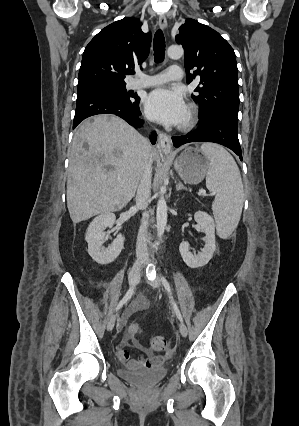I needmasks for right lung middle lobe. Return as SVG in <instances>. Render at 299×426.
<instances>
[{"label":"right lung middle lobe","instance_id":"right-lung-middle-lobe-1","mask_svg":"<svg viewBox=\"0 0 299 426\" xmlns=\"http://www.w3.org/2000/svg\"><path fill=\"white\" fill-rule=\"evenodd\" d=\"M125 85L126 84H93L78 86V93L82 91H98L113 94L128 101L135 100L136 95H132L131 93L127 92Z\"/></svg>","mask_w":299,"mask_h":426}]
</instances>
